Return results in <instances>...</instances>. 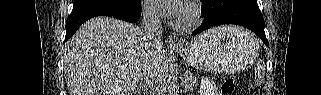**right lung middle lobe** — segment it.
I'll use <instances>...</instances> for the list:
<instances>
[{
  "instance_id": "obj_1",
  "label": "right lung middle lobe",
  "mask_w": 321,
  "mask_h": 95,
  "mask_svg": "<svg viewBox=\"0 0 321 95\" xmlns=\"http://www.w3.org/2000/svg\"><path fill=\"white\" fill-rule=\"evenodd\" d=\"M140 5V0H74L72 13L87 10H115L126 13Z\"/></svg>"
}]
</instances>
